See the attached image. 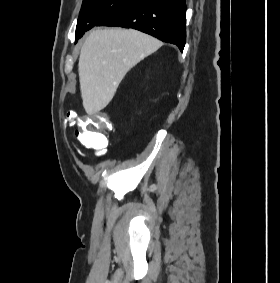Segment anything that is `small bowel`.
<instances>
[{
  "label": "small bowel",
  "mask_w": 280,
  "mask_h": 283,
  "mask_svg": "<svg viewBox=\"0 0 280 283\" xmlns=\"http://www.w3.org/2000/svg\"><path fill=\"white\" fill-rule=\"evenodd\" d=\"M66 123H67L68 125H73V120H72L71 118L67 117Z\"/></svg>",
  "instance_id": "c3829d8e"
}]
</instances>
